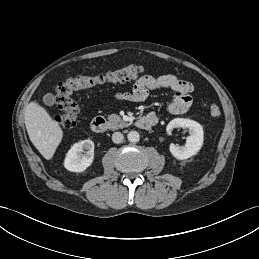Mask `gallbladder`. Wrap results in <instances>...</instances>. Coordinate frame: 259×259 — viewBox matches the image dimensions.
I'll list each match as a JSON object with an SVG mask.
<instances>
[{
  "label": "gallbladder",
  "instance_id": "bac80fb5",
  "mask_svg": "<svg viewBox=\"0 0 259 259\" xmlns=\"http://www.w3.org/2000/svg\"><path fill=\"white\" fill-rule=\"evenodd\" d=\"M43 102L48 106H52L56 103V98L52 94H46L43 96Z\"/></svg>",
  "mask_w": 259,
  "mask_h": 259
}]
</instances>
